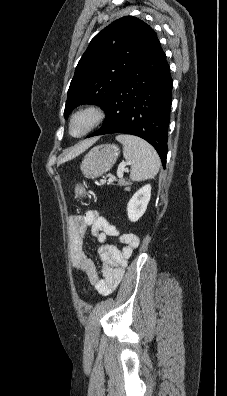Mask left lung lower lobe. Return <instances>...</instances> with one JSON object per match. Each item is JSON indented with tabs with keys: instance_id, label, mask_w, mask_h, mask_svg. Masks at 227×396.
<instances>
[{
	"instance_id": "left-lung-lower-lobe-1",
	"label": "left lung lower lobe",
	"mask_w": 227,
	"mask_h": 396,
	"mask_svg": "<svg viewBox=\"0 0 227 396\" xmlns=\"http://www.w3.org/2000/svg\"><path fill=\"white\" fill-rule=\"evenodd\" d=\"M172 102V78L160 43L129 72L104 106L102 127L88 137L126 133L139 136L158 152L165 167Z\"/></svg>"
}]
</instances>
